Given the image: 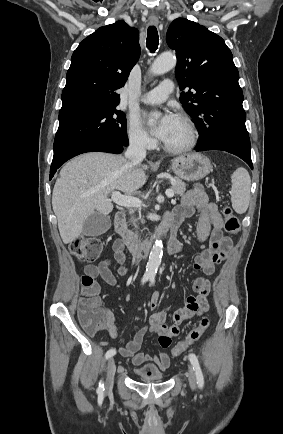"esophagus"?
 <instances>
[{
  "label": "esophagus",
  "instance_id": "obj_1",
  "mask_svg": "<svg viewBox=\"0 0 283 434\" xmlns=\"http://www.w3.org/2000/svg\"><path fill=\"white\" fill-rule=\"evenodd\" d=\"M150 23L153 24V25H158V23H159L158 18L151 17L150 18Z\"/></svg>",
  "mask_w": 283,
  "mask_h": 434
}]
</instances>
